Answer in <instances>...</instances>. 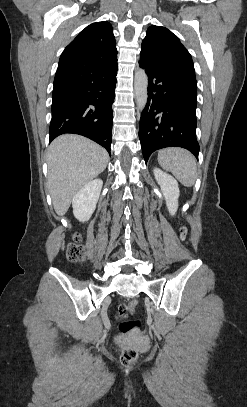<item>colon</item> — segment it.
<instances>
[{
	"instance_id": "obj_1",
	"label": "colon",
	"mask_w": 247,
	"mask_h": 407,
	"mask_svg": "<svg viewBox=\"0 0 247 407\" xmlns=\"http://www.w3.org/2000/svg\"><path fill=\"white\" fill-rule=\"evenodd\" d=\"M187 228H181V237L185 239L187 236ZM67 257L70 261H83L86 257V251L81 244V238L79 234H74L72 241L67 247ZM138 307V302L136 300H131L126 304L119 305L115 320L118 323L119 329L123 333L137 330L140 327V322L138 320H133L132 317L136 312ZM138 358V352L135 348L129 345H123L120 349V359L124 366L133 365Z\"/></svg>"
}]
</instances>
